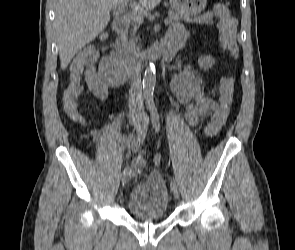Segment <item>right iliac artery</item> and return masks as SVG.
Wrapping results in <instances>:
<instances>
[{
  "label": "right iliac artery",
  "instance_id": "1",
  "mask_svg": "<svg viewBox=\"0 0 295 250\" xmlns=\"http://www.w3.org/2000/svg\"><path fill=\"white\" fill-rule=\"evenodd\" d=\"M148 126V119H146L142 125V127H140L138 129V132L136 133L138 135V140H137V144H136V147L137 148H140L141 147V144H140V141H141V136L143 135V133L145 132V129L147 128ZM124 174H130L131 173V169L129 167H126L123 171Z\"/></svg>",
  "mask_w": 295,
  "mask_h": 250
}]
</instances>
